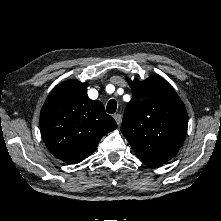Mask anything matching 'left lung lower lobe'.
I'll list each match as a JSON object with an SVG mask.
<instances>
[{"instance_id":"left-lung-lower-lobe-1","label":"left lung lower lobe","mask_w":221,"mask_h":221,"mask_svg":"<svg viewBox=\"0 0 221 221\" xmlns=\"http://www.w3.org/2000/svg\"><path fill=\"white\" fill-rule=\"evenodd\" d=\"M140 161H142L144 164L150 166V167H160L162 166L161 164H158V163H153V162H148V161H145V160H142V159H139Z\"/></svg>"}]
</instances>
